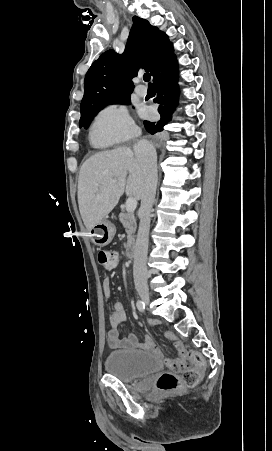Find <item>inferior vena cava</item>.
Returning <instances> with one entry per match:
<instances>
[{
	"label": "inferior vena cava",
	"mask_w": 272,
	"mask_h": 451,
	"mask_svg": "<svg viewBox=\"0 0 272 451\" xmlns=\"http://www.w3.org/2000/svg\"><path fill=\"white\" fill-rule=\"evenodd\" d=\"M135 156L144 172V190L141 198V220L134 249L133 277L136 287L147 285V251L150 218L157 186V154L149 142L134 146Z\"/></svg>",
	"instance_id": "obj_1"
}]
</instances>
